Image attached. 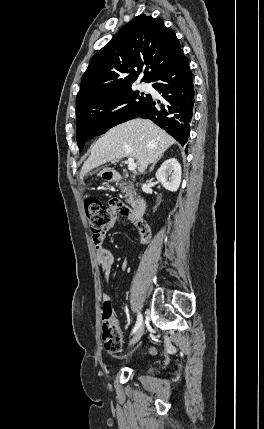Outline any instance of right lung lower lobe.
<instances>
[{
    "mask_svg": "<svg viewBox=\"0 0 264 429\" xmlns=\"http://www.w3.org/2000/svg\"><path fill=\"white\" fill-rule=\"evenodd\" d=\"M188 63L181 51L153 78L152 86L164 100L156 101L150 97L138 115L152 120L186 147L194 106V85Z\"/></svg>",
    "mask_w": 264,
    "mask_h": 429,
    "instance_id": "98d812e1",
    "label": "right lung lower lobe"
}]
</instances>
